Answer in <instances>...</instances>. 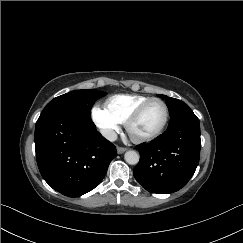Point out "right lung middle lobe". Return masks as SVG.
Here are the masks:
<instances>
[{
    "label": "right lung middle lobe",
    "instance_id": "obj_1",
    "mask_svg": "<svg viewBox=\"0 0 243 243\" xmlns=\"http://www.w3.org/2000/svg\"><path fill=\"white\" fill-rule=\"evenodd\" d=\"M106 93L98 90H75L58 96L43 109L39 119L51 114L65 113L91 119V108L95 101Z\"/></svg>",
    "mask_w": 243,
    "mask_h": 243
}]
</instances>
